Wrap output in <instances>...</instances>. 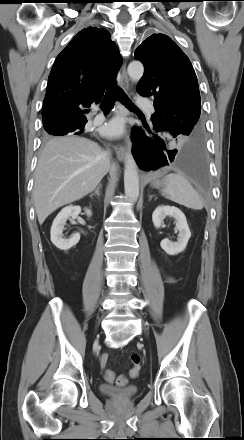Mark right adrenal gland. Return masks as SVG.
<instances>
[{
	"instance_id": "obj_1",
	"label": "right adrenal gland",
	"mask_w": 244,
	"mask_h": 440,
	"mask_svg": "<svg viewBox=\"0 0 244 440\" xmlns=\"http://www.w3.org/2000/svg\"><path fill=\"white\" fill-rule=\"evenodd\" d=\"M101 188H102V185L99 184V185L97 186L96 190L90 195V197H92V196H94V195L100 196V189H101Z\"/></svg>"
}]
</instances>
